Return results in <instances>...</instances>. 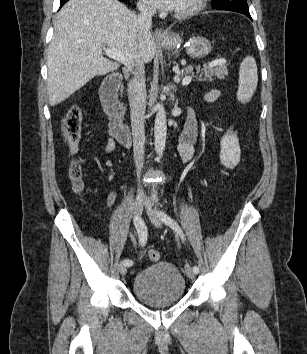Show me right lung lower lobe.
<instances>
[{"label":"right lung lower lobe","instance_id":"1","mask_svg":"<svg viewBox=\"0 0 307 354\" xmlns=\"http://www.w3.org/2000/svg\"><path fill=\"white\" fill-rule=\"evenodd\" d=\"M68 0H61V4H60V7H62L63 6V4L65 3V2H67ZM120 1H124V0H120Z\"/></svg>","mask_w":307,"mask_h":354}]
</instances>
